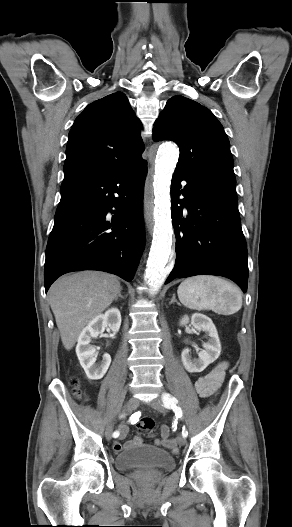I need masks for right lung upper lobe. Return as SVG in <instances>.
I'll return each instance as SVG.
<instances>
[{"label": "right lung upper lobe", "mask_w": 292, "mask_h": 527, "mask_svg": "<svg viewBox=\"0 0 292 527\" xmlns=\"http://www.w3.org/2000/svg\"><path fill=\"white\" fill-rule=\"evenodd\" d=\"M141 128L124 93L92 102L69 132L64 178L107 175L138 164L144 151Z\"/></svg>", "instance_id": "obj_1"}]
</instances>
